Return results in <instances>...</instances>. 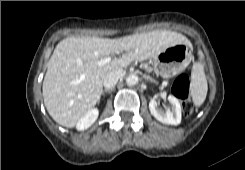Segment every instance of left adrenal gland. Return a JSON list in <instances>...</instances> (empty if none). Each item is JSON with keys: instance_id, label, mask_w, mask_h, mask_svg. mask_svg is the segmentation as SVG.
<instances>
[{"instance_id": "left-adrenal-gland-1", "label": "left adrenal gland", "mask_w": 245, "mask_h": 170, "mask_svg": "<svg viewBox=\"0 0 245 170\" xmlns=\"http://www.w3.org/2000/svg\"><path fill=\"white\" fill-rule=\"evenodd\" d=\"M145 79H146V80H148V77H147V76H145Z\"/></svg>"}]
</instances>
